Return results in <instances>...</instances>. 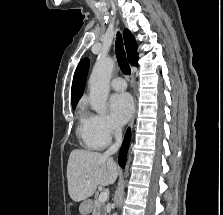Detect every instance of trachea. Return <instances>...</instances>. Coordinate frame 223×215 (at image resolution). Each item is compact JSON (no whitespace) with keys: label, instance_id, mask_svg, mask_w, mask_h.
Instances as JSON below:
<instances>
[{"label":"trachea","instance_id":"1","mask_svg":"<svg viewBox=\"0 0 223 215\" xmlns=\"http://www.w3.org/2000/svg\"><path fill=\"white\" fill-rule=\"evenodd\" d=\"M116 58L122 72L125 73V75H130L131 69L126 58V53L123 47V40L119 32L117 33L116 37Z\"/></svg>","mask_w":223,"mask_h":215}]
</instances>
